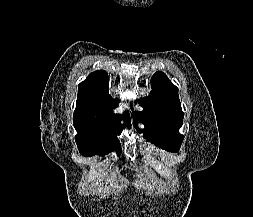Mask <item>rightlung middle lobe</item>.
I'll return each mask as SVG.
<instances>
[{"mask_svg":"<svg viewBox=\"0 0 253 217\" xmlns=\"http://www.w3.org/2000/svg\"><path fill=\"white\" fill-rule=\"evenodd\" d=\"M73 124L77 130L75 141L82 155L104 156L113 150H116L118 155H120V142L117 139V135L121 134L123 128L118 122H100L73 118ZM127 126L130 127V123H127Z\"/></svg>","mask_w":253,"mask_h":217,"instance_id":"1","label":"right lung middle lobe"}]
</instances>
